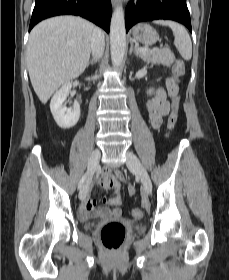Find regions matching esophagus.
Instances as JSON below:
<instances>
[{
  "label": "esophagus",
  "instance_id": "obj_1",
  "mask_svg": "<svg viewBox=\"0 0 229 280\" xmlns=\"http://www.w3.org/2000/svg\"><path fill=\"white\" fill-rule=\"evenodd\" d=\"M113 7H116L119 3V0H111Z\"/></svg>",
  "mask_w": 229,
  "mask_h": 280
}]
</instances>
